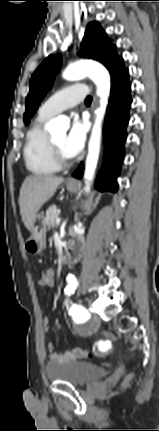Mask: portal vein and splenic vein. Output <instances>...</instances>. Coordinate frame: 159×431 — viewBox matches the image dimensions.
I'll return each instance as SVG.
<instances>
[{"label":"portal vein and splenic vein","instance_id":"obj_1","mask_svg":"<svg viewBox=\"0 0 159 431\" xmlns=\"http://www.w3.org/2000/svg\"><path fill=\"white\" fill-rule=\"evenodd\" d=\"M60 221H61V219L58 217V218L56 219V224H59V223H60Z\"/></svg>","mask_w":159,"mask_h":431}]
</instances>
